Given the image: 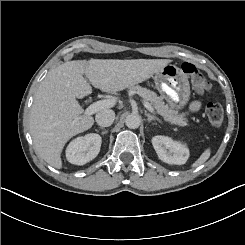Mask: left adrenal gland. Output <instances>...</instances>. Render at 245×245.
I'll use <instances>...</instances> for the list:
<instances>
[{
  "label": "left adrenal gland",
  "instance_id": "obj_1",
  "mask_svg": "<svg viewBox=\"0 0 245 245\" xmlns=\"http://www.w3.org/2000/svg\"><path fill=\"white\" fill-rule=\"evenodd\" d=\"M145 116L147 117V120L148 121H151V120H154L155 119V120L161 122V120L159 118H157L156 116H154V115H152L150 113H147L146 111H145Z\"/></svg>",
  "mask_w": 245,
  "mask_h": 245
}]
</instances>
